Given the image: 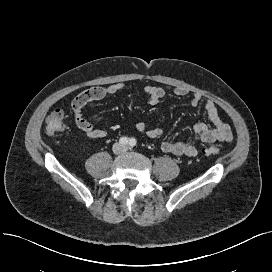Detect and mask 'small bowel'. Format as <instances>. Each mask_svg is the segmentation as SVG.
Returning a JSON list of instances; mask_svg holds the SVG:
<instances>
[{
  "instance_id": "c3829d8e",
  "label": "small bowel",
  "mask_w": 272,
  "mask_h": 272,
  "mask_svg": "<svg viewBox=\"0 0 272 272\" xmlns=\"http://www.w3.org/2000/svg\"><path fill=\"white\" fill-rule=\"evenodd\" d=\"M125 89L126 84L120 82L108 86L92 87L79 94L71 105L76 126L89 138L98 139L106 137L108 131L89 122L83 113V109L87 104L93 101L104 99ZM144 92L148 96L150 105L159 104L166 95L165 89L156 86H146ZM173 93L179 97L190 94L189 90L184 87L174 88ZM201 101L202 96L200 94L195 93L192 95L191 105L193 107L198 106ZM204 106L211 126L203 122L195 124L193 127V141L163 140L161 143L163 152L179 156L194 157L197 154V149L194 144L195 141L215 143L230 142L233 139L231 127L223 120L218 104L212 100H207ZM135 128L139 133L144 134L149 139H160L163 137V131L160 128H150L143 122L137 123Z\"/></svg>"
}]
</instances>
